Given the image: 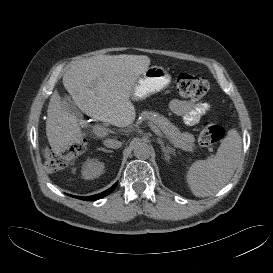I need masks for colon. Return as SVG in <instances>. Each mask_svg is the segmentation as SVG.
<instances>
[{
    "label": "colon",
    "mask_w": 273,
    "mask_h": 273,
    "mask_svg": "<svg viewBox=\"0 0 273 273\" xmlns=\"http://www.w3.org/2000/svg\"><path fill=\"white\" fill-rule=\"evenodd\" d=\"M175 84L180 95L193 99L204 97L210 89L207 79L188 73L179 74L175 79ZM224 135L225 130L220 124L211 119H207L203 123L199 134V144L204 148H208L220 142L224 138ZM84 148V140L77 139L61 154H56L51 150H47L45 152L47 168L53 172L63 169L68 164L69 160L80 154Z\"/></svg>",
    "instance_id": "5ec220e1"
}]
</instances>
